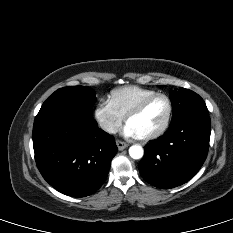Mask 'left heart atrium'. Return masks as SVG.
<instances>
[{"label":"left heart atrium","instance_id":"obj_1","mask_svg":"<svg viewBox=\"0 0 233 233\" xmlns=\"http://www.w3.org/2000/svg\"><path fill=\"white\" fill-rule=\"evenodd\" d=\"M124 133L129 137H138V134L135 132V130L128 124L124 128Z\"/></svg>","mask_w":233,"mask_h":233}]
</instances>
